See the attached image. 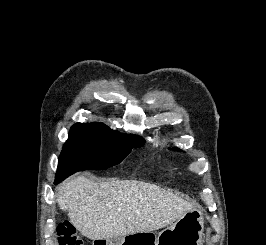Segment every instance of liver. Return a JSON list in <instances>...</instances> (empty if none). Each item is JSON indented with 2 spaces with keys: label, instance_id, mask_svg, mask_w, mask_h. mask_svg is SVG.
<instances>
[{
  "label": "liver",
  "instance_id": "6515ba94",
  "mask_svg": "<svg viewBox=\"0 0 266 245\" xmlns=\"http://www.w3.org/2000/svg\"><path fill=\"white\" fill-rule=\"evenodd\" d=\"M57 203L68 211L75 229L93 241L158 231L194 211L192 203L151 183L116 179L97 183L83 175L60 185Z\"/></svg>",
  "mask_w": 266,
  "mask_h": 245
}]
</instances>
